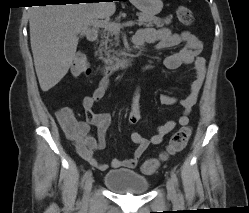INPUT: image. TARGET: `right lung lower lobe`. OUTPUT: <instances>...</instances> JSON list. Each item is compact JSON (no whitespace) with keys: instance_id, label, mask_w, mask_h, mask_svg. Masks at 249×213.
<instances>
[{"instance_id":"right-lung-lower-lobe-1","label":"right lung lower lobe","mask_w":249,"mask_h":213,"mask_svg":"<svg viewBox=\"0 0 249 213\" xmlns=\"http://www.w3.org/2000/svg\"><path fill=\"white\" fill-rule=\"evenodd\" d=\"M46 2H49V3H55V4H66V3H78L81 1V0H44ZM109 1H113V0H109ZM45 3V2H43Z\"/></svg>"}]
</instances>
